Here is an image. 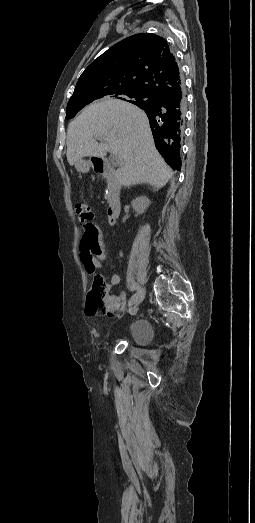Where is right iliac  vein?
Segmentation results:
<instances>
[{
  "label": "right iliac vein",
  "instance_id": "right-iliac-vein-1",
  "mask_svg": "<svg viewBox=\"0 0 255 523\" xmlns=\"http://www.w3.org/2000/svg\"><path fill=\"white\" fill-rule=\"evenodd\" d=\"M145 297V289L142 288L138 291L135 301L133 302V309L137 308V306L143 301Z\"/></svg>",
  "mask_w": 255,
  "mask_h": 523
}]
</instances>
